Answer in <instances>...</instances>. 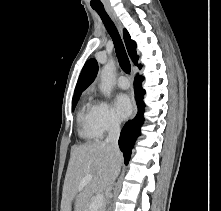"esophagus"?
I'll return each mask as SVG.
<instances>
[{"label":"esophagus","mask_w":221,"mask_h":211,"mask_svg":"<svg viewBox=\"0 0 221 211\" xmlns=\"http://www.w3.org/2000/svg\"><path fill=\"white\" fill-rule=\"evenodd\" d=\"M109 15L111 16V18L113 19L114 23L116 24L117 28L121 31L122 30V26L121 23L119 21V19L117 18V16L114 14V12L111 9L107 10ZM137 113V105L135 103V100H133V113H132V118H134V116Z\"/></svg>","instance_id":"obj_1"}]
</instances>
